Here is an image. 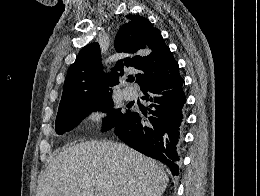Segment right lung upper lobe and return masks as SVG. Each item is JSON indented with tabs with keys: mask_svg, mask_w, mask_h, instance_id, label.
<instances>
[{
	"mask_svg": "<svg viewBox=\"0 0 260 196\" xmlns=\"http://www.w3.org/2000/svg\"><path fill=\"white\" fill-rule=\"evenodd\" d=\"M126 18L114 41L117 61L111 72L103 73L98 43L82 48L68 69L59 111L82 98L110 93L107 86L119 84L127 69L139 72L136 83L141 89L171 76L178 69L160 31L148 19L139 15H127Z\"/></svg>",
	"mask_w": 260,
	"mask_h": 196,
	"instance_id": "1",
	"label": "right lung upper lobe"
}]
</instances>
